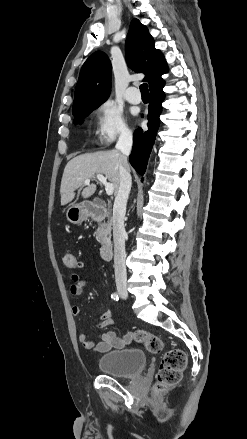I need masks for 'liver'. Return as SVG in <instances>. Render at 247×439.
Listing matches in <instances>:
<instances>
[{
  "instance_id": "6515ba94",
  "label": "liver",
  "mask_w": 247,
  "mask_h": 439,
  "mask_svg": "<svg viewBox=\"0 0 247 439\" xmlns=\"http://www.w3.org/2000/svg\"><path fill=\"white\" fill-rule=\"evenodd\" d=\"M118 150L99 151L74 157L65 166L60 194L61 205L71 202L75 197V190L81 187L87 178H95L102 174L114 185L117 194L120 184V158ZM96 191V185L90 184L83 189L81 195L84 199L91 197Z\"/></svg>"
}]
</instances>
